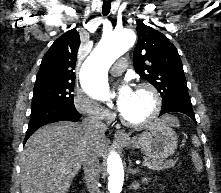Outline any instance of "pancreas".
<instances>
[{
  "label": "pancreas",
  "instance_id": "pancreas-1",
  "mask_svg": "<svg viewBox=\"0 0 221 193\" xmlns=\"http://www.w3.org/2000/svg\"><path fill=\"white\" fill-rule=\"evenodd\" d=\"M145 162L148 163L147 167L149 169L154 170V171H161V170L173 167L176 164L177 160H166V161H163V160H159V161L145 160Z\"/></svg>",
  "mask_w": 221,
  "mask_h": 193
}]
</instances>
